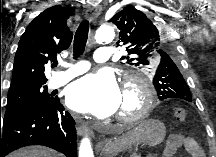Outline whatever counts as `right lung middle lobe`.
<instances>
[{"mask_svg":"<svg viewBox=\"0 0 216 157\" xmlns=\"http://www.w3.org/2000/svg\"><path fill=\"white\" fill-rule=\"evenodd\" d=\"M54 101L55 98L51 97L47 92V87L44 85L31 86L11 91L7 96V106L4 117L13 116L25 110L48 106L53 104Z\"/></svg>","mask_w":216,"mask_h":157,"instance_id":"right-lung-middle-lobe-1","label":"right lung middle lobe"}]
</instances>
